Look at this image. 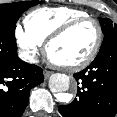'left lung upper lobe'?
I'll use <instances>...</instances> for the list:
<instances>
[{
    "label": "left lung upper lobe",
    "mask_w": 117,
    "mask_h": 117,
    "mask_svg": "<svg viewBox=\"0 0 117 117\" xmlns=\"http://www.w3.org/2000/svg\"><path fill=\"white\" fill-rule=\"evenodd\" d=\"M100 24L102 28V32L105 35L102 46H104L107 42L112 40L114 37H117V24H113V22L108 18H101Z\"/></svg>",
    "instance_id": "1"
}]
</instances>
